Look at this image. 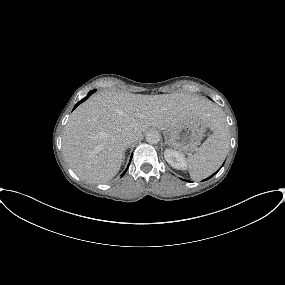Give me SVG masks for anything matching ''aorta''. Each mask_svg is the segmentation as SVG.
<instances>
[{
    "instance_id": "1",
    "label": "aorta",
    "mask_w": 285,
    "mask_h": 285,
    "mask_svg": "<svg viewBox=\"0 0 285 285\" xmlns=\"http://www.w3.org/2000/svg\"><path fill=\"white\" fill-rule=\"evenodd\" d=\"M146 141L150 144H157L160 141L161 135L158 133V131H148L146 134Z\"/></svg>"
}]
</instances>
